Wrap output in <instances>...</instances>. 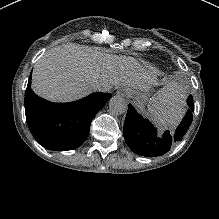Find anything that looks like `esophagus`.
I'll list each match as a JSON object with an SVG mask.
<instances>
[{"label": "esophagus", "mask_w": 219, "mask_h": 219, "mask_svg": "<svg viewBox=\"0 0 219 219\" xmlns=\"http://www.w3.org/2000/svg\"><path fill=\"white\" fill-rule=\"evenodd\" d=\"M122 96L125 97V92L123 90L117 92V97Z\"/></svg>", "instance_id": "34e87169"}]
</instances>
